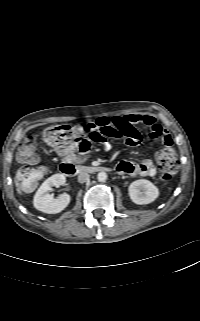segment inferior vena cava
Masks as SVG:
<instances>
[{
  "mask_svg": "<svg viewBox=\"0 0 200 321\" xmlns=\"http://www.w3.org/2000/svg\"><path fill=\"white\" fill-rule=\"evenodd\" d=\"M89 177L90 175L86 172H81L79 175H78V182L79 183H85L87 181H89Z\"/></svg>",
  "mask_w": 200,
  "mask_h": 321,
  "instance_id": "1",
  "label": "inferior vena cava"
}]
</instances>
